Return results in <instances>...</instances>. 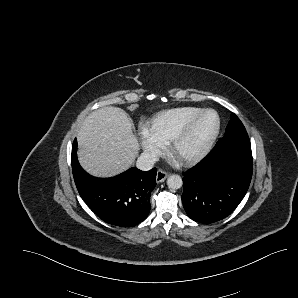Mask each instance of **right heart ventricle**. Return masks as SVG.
<instances>
[{
    "instance_id": "e07e8e85",
    "label": "right heart ventricle",
    "mask_w": 298,
    "mask_h": 298,
    "mask_svg": "<svg viewBox=\"0 0 298 298\" xmlns=\"http://www.w3.org/2000/svg\"><path fill=\"white\" fill-rule=\"evenodd\" d=\"M202 110V108L193 106L166 109L155 114L151 119V123L154 127L159 128L167 138L170 137L185 121Z\"/></svg>"
}]
</instances>
